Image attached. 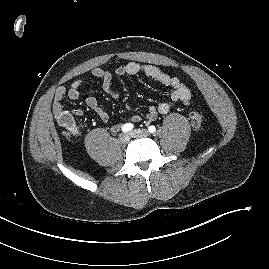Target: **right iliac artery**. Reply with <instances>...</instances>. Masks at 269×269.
Segmentation results:
<instances>
[{
  "mask_svg": "<svg viewBox=\"0 0 269 269\" xmlns=\"http://www.w3.org/2000/svg\"><path fill=\"white\" fill-rule=\"evenodd\" d=\"M133 129V125L131 123H126L122 126L123 132H128Z\"/></svg>",
  "mask_w": 269,
  "mask_h": 269,
  "instance_id": "82829eb1",
  "label": "right iliac artery"
}]
</instances>
